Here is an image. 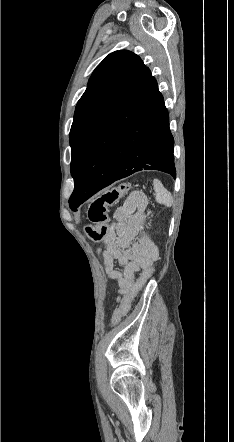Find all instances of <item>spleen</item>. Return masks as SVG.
Masks as SVG:
<instances>
[{"mask_svg":"<svg viewBox=\"0 0 234 442\" xmlns=\"http://www.w3.org/2000/svg\"><path fill=\"white\" fill-rule=\"evenodd\" d=\"M153 187L156 192V202L159 204H163L167 207H171L173 204V198L171 193L163 186V184L157 180L154 179L153 181Z\"/></svg>","mask_w":234,"mask_h":442,"instance_id":"obj_1","label":"spleen"}]
</instances>
